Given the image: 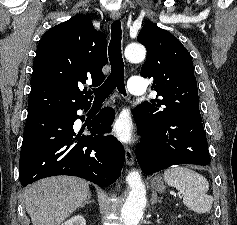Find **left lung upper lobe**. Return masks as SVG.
<instances>
[{
    "instance_id": "obj_1",
    "label": "left lung upper lobe",
    "mask_w": 237,
    "mask_h": 225,
    "mask_svg": "<svg viewBox=\"0 0 237 225\" xmlns=\"http://www.w3.org/2000/svg\"><path fill=\"white\" fill-rule=\"evenodd\" d=\"M137 40L147 49L140 75L154 80L151 88L161 97L136 108L144 123L158 127L199 107L192 58L183 44L152 22L144 24Z\"/></svg>"
}]
</instances>
